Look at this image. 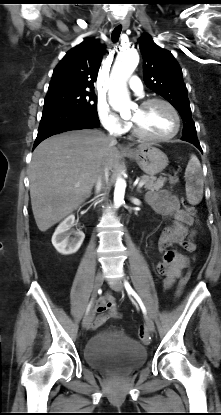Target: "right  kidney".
I'll list each match as a JSON object with an SVG mask.
<instances>
[{
    "label": "right kidney",
    "mask_w": 221,
    "mask_h": 415,
    "mask_svg": "<svg viewBox=\"0 0 221 415\" xmlns=\"http://www.w3.org/2000/svg\"><path fill=\"white\" fill-rule=\"evenodd\" d=\"M74 222L75 216H68L59 224L52 236L53 246L63 255H69L77 252L84 241L85 234L82 231L75 232L74 234L76 237L70 238V233L68 231L74 225Z\"/></svg>",
    "instance_id": "ca27d5eb"
}]
</instances>
